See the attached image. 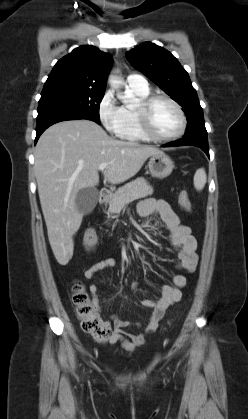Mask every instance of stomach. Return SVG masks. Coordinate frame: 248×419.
Here are the masks:
<instances>
[{
	"label": "stomach",
	"mask_w": 248,
	"mask_h": 419,
	"mask_svg": "<svg viewBox=\"0 0 248 419\" xmlns=\"http://www.w3.org/2000/svg\"><path fill=\"white\" fill-rule=\"evenodd\" d=\"M148 167L153 177L163 179L172 173L174 163L169 156L162 152L150 157Z\"/></svg>",
	"instance_id": "0dacf381"
}]
</instances>
